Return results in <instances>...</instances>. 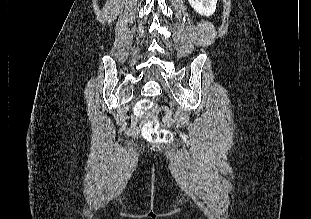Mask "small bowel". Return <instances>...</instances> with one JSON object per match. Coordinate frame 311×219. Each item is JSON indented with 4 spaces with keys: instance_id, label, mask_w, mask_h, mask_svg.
<instances>
[{
    "instance_id": "small-bowel-1",
    "label": "small bowel",
    "mask_w": 311,
    "mask_h": 219,
    "mask_svg": "<svg viewBox=\"0 0 311 219\" xmlns=\"http://www.w3.org/2000/svg\"><path fill=\"white\" fill-rule=\"evenodd\" d=\"M163 111L168 113V111L166 109H164ZM138 121H139L138 117L134 116L132 118V124H131V127H130V133H132V134L137 133V131H138ZM164 124L165 125L169 124V119L168 118H165Z\"/></svg>"
}]
</instances>
